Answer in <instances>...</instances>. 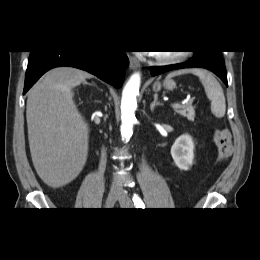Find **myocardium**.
I'll use <instances>...</instances> for the list:
<instances>
[{"label":"myocardium","mask_w":260,"mask_h":260,"mask_svg":"<svg viewBox=\"0 0 260 260\" xmlns=\"http://www.w3.org/2000/svg\"><path fill=\"white\" fill-rule=\"evenodd\" d=\"M181 59V55L179 54H164V53H159L155 56V60L158 63L161 64H170L177 62L178 60Z\"/></svg>","instance_id":"1"}]
</instances>
